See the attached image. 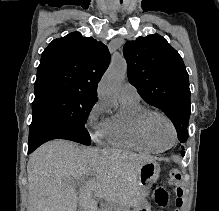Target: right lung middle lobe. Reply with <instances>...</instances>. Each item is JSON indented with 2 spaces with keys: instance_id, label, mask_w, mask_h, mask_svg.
Wrapping results in <instances>:
<instances>
[{
  "instance_id": "obj_1",
  "label": "right lung middle lobe",
  "mask_w": 219,
  "mask_h": 211,
  "mask_svg": "<svg viewBox=\"0 0 219 211\" xmlns=\"http://www.w3.org/2000/svg\"><path fill=\"white\" fill-rule=\"evenodd\" d=\"M95 102L96 98L60 89L35 93L30 127L40 123L61 126L80 133L84 141L90 144L91 138L85 124Z\"/></svg>"
}]
</instances>
